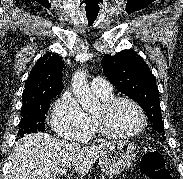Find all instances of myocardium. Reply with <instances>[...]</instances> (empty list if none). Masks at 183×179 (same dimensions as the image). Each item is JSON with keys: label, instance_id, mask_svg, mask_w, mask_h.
<instances>
[{"label": "myocardium", "instance_id": "myocardium-1", "mask_svg": "<svg viewBox=\"0 0 183 179\" xmlns=\"http://www.w3.org/2000/svg\"><path fill=\"white\" fill-rule=\"evenodd\" d=\"M126 102L131 104L139 113L140 118H141V124L140 126L133 132L130 133H117L114 131H111L104 123L103 116L109 114L118 104ZM101 110L102 114L101 115H94L93 120L96 125L97 130L105 137L107 138H112V139H129L136 137L137 135L141 134L144 129L147 126V116L142 108V106L135 101L132 98L125 97V96H114L111 97L108 100H105L101 104Z\"/></svg>", "mask_w": 183, "mask_h": 179}]
</instances>
